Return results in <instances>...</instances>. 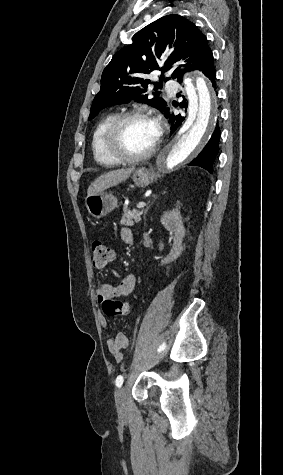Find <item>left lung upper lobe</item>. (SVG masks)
<instances>
[{
	"instance_id": "obj_1",
	"label": "left lung upper lobe",
	"mask_w": 283,
	"mask_h": 475,
	"mask_svg": "<svg viewBox=\"0 0 283 475\" xmlns=\"http://www.w3.org/2000/svg\"><path fill=\"white\" fill-rule=\"evenodd\" d=\"M169 44L175 46L171 56L159 66L160 52ZM212 55L206 36L186 18L171 14L147 25L133 36V43L118 51L104 69L101 78V89L95 96L91 106L89 120L93 119L103 108L131 101L147 103L162 112L167 102L158 97L149 99L147 91L152 81L145 78L153 70H162L160 82L164 80V72L171 69L173 62L186 59L187 69L194 70ZM179 69L171 74L172 79L182 77ZM170 78H166L169 80ZM156 87H161L155 82ZM158 92L152 93L155 97Z\"/></svg>"
}]
</instances>
